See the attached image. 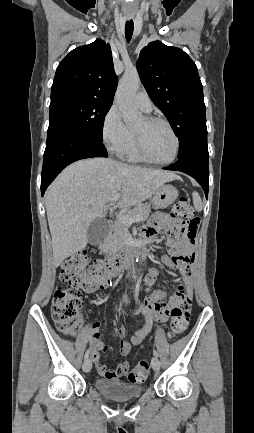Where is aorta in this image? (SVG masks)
<instances>
[{
  "mask_svg": "<svg viewBox=\"0 0 254 433\" xmlns=\"http://www.w3.org/2000/svg\"><path fill=\"white\" fill-rule=\"evenodd\" d=\"M139 86L140 78L138 73L126 72L116 93V104L122 113L124 122L129 126L137 125L143 117L134 103V97Z\"/></svg>",
  "mask_w": 254,
  "mask_h": 433,
  "instance_id": "obj_1",
  "label": "aorta"
}]
</instances>
